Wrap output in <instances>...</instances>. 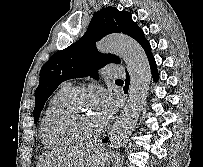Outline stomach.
Here are the masks:
<instances>
[{
    "instance_id": "1",
    "label": "stomach",
    "mask_w": 203,
    "mask_h": 167,
    "mask_svg": "<svg viewBox=\"0 0 203 167\" xmlns=\"http://www.w3.org/2000/svg\"><path fill=\"white\" fill-rule=\"evenodd\" d=\"M108 161V155L103 150L96 147L92 152L86 167H104Z\"/></svg>"
}]
</instances>
